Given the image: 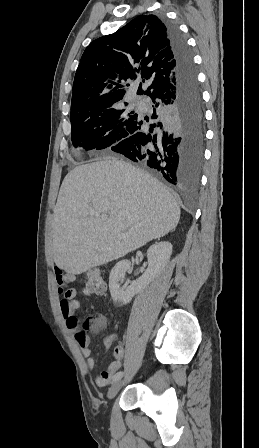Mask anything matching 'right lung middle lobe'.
I'll return each instance as SVG.
<instances>
[{
    "instance_id": "dd1d6c3e",
    "label": "right lung middle lobe",
    "mask_w": 259,
    "mask_h": 448,
    "mask_svg": "<svg viewBox=\"0 0 259 448\" xmlns=\"http://www.w3.org/2000/svg\"><path fill=\"white\" fill-rule=\"evenodd\" d=\"M137 117L134 111L127 112L117 106L73 113L70 116L72 143L86 150L112 147L122 140Z\"/></svg>"
}]
</instances>
